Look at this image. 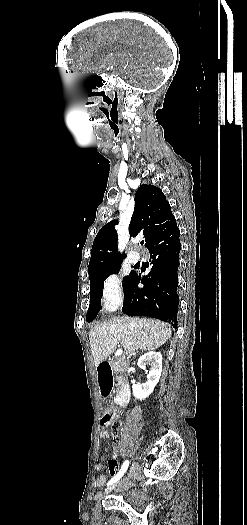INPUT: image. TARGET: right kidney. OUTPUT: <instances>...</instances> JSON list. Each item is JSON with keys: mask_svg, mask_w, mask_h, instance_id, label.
Listing matches in <instances>:
<instances>
[{"mask_svg": "<svg viewBox=\"0 0 247 525\" xmlns=\"http://www.w3.org/2000/svg\"><path fill=\"white\" fill-rule=\"evenodd\" d=\"M138 367L143 369L147 373V383L144 385H132V391L135 399L144 401L151 393H153L162 373V355L155 353V351H149L142 357H139L137 361ZM146 365H150V371H146Z\"/></svg>", "mask_w": 247, "mask_h": 525, "instance_id": "right-kidney-1", "label": "right kidney"}]
</instances>
